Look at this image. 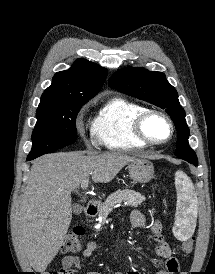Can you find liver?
<instances>
[{
  "instance_id": "obj_1",
  "label": "liver",
  "mask_w": 215,
  "mask_h": 274,
  "mask_svg": "<svg viewBox=\"0 0 215 274\" xmlns=\"http://www.w3.org/2000/svg\"><path fill=\"white\" fill-rule=\"evenodd\" d=\"M133 159L120 152H60L34 162L14 225L16 245L35 271L44 272L63 244L72 219L71 192L90 175L95 183L110 182Z\"/></svg>"
}]
</instances>
